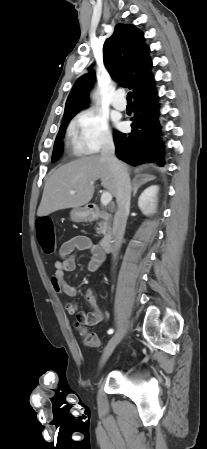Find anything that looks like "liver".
Returning a JSON list of instances; mask_svg holds the SVG:
<instances>
[{
  "label": "liver",
  "instance_id": "obj_1",
  "mask_svg": "<svg viewBox=\"0 0 207 449\" xmlns=\"http://www.w3.org/2000/svg\"><path fill=\"white\" fill-rule=\"evenodd\" d=\"M98 179L111 195L116 196L113 171L101 156L83 157L62 165L47 180L37 215L43 217L58 210L86 205L93 197L94 182Z\"/></svg>",
  "mask_w": 207,
  "mask_h": 449
}]
</instances>
